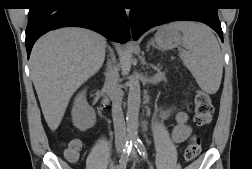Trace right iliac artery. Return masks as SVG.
<instances>
[{"instance_id": "right-iliac-artery-1", "label": "right iliac artery", "mask_w": 252, "mask_h": 169, "mask_svg": "<svg viewBox=\"0 0 252 169\" xmlns=\"http://www.w3.org/2000/svg\"><path fill=\"white\" fill-rule=\"evenodd\" d=\"M132 145H133V141L132 140H127L125 147L123 149V152L121 154V158H120V165H119V169H125V166L128 162V157L130 155L131 149H132Z\"/></svg>"}]
</instances>
